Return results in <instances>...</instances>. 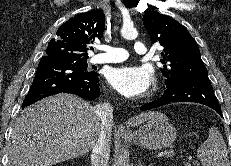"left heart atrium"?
<instances>
[{"instance_id": "39dd6f15", "label": "left heart atrium", "mask_w": 231, "mask_h": 166, "mask_svg": "<svg viewBox=\"0 0 231 166\" xmlns=\"http://www.w3.org/2000/svg\"><path fill=\"white\" fill-rule=\"evenodd\" d=\"M107 80L122 95L134 98L144 95L153 83V72L146 66L124 65L110 69Z\"/></svg>"}]
</instances>
